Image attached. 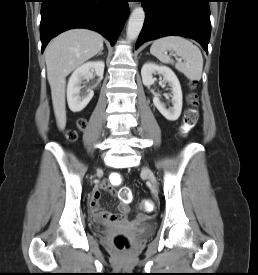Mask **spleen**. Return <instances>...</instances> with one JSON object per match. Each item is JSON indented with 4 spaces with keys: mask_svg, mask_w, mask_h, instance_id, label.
<instances>
[{
    "mask_svg": "<svg viewBox=\"0 0 258 275\" xmlns=\"http://www.w3.org/2000/svg\"><path fill=\"white\" fill-rule=\"evenodd\" d=\"M167 51L174 52L183 62H176L167 55ZM150 53L166 64H173L191 81H199L203 70V57L200 49L192 42L180 36H168L153 42Z\"/></svg>",
    "mask_w": 258,
    "mask_h": 275,
    "instance_id": "3e777b00",
    "label": "spleen"
}]
</instances>
